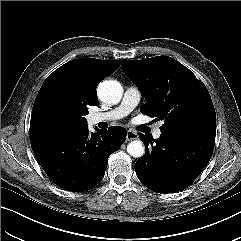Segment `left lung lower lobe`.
Listing matches in <instances>:
<instances>
[{"instance_id": "0a47b994", "label": "left lung lower lobe", "mask_w": 241, "mask_h": 241, "mask_svg": "<svg viewBox=\"0 0 241 241\" xmlns=\"http://www.w3.org/2000/svg\"><path fill=\"white\" fill-rule=\"evenodd\" d=\"M146 146L135 164L138 179L157 193H174L188 187L208 164L215 140L161 130L158 139L140 135Z\"/></svg>"}]
</instances>
